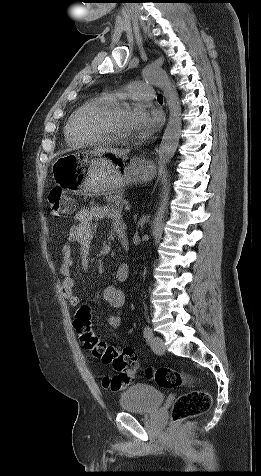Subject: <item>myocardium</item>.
<instances>
[{
  "label": "myocardium",
  "instance_id": "f54148a6",
  "mask_svg": "<svg viewBox=\"0 0 261 476\" xmlns=\"http://www.w3.org/2000/svg\"><path fill=\"white\" fill-rule=\"evenodd\" d=\"M129 108V103L121 101H110L90 107L82 117V127L90 135L95 136L102 141L124 142L126 136L115 133L108 126V119L114 113Z\"/></svg>",
  "mask_w": 261,
  "mask_h": 476
}]
</instances>
